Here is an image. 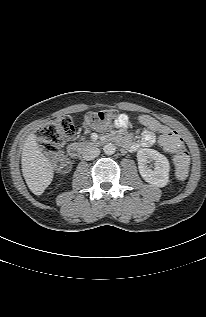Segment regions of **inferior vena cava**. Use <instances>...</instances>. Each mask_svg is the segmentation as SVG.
Here are the masks:
<instances>
[{
  "mask_svg": "<svg viewBox=\"0 0 206 317\" xmlns=\"http://www.w3.org/2000/svg\"><path fill=\"white\" fill-rule=\"evenodd\" d=\"M100 154V150L94 146H87L82 151V157L84 160H91L96 158Z\"/></svg>",
  "mask_w": 206,
  "mask_h": 317,
  "instance_id": "obj_1",
  "label": "inferior vena cava"
}]
</instances>
